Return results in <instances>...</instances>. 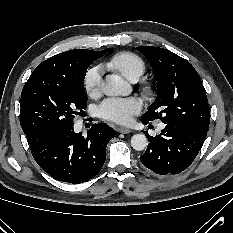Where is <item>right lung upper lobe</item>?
I'll return each instance as SVG.
<instances>
[{"mask_svg": "<svg viewBox=\"0 0 233 233\" xmlns=\"http://www.w3.org/2000/svg\"><path fill=\"white\" fill-rule=\"evenodd\" d=\"M108 49L92 51L87 49H74L66 51L43 61L37 66L33 73H43L55 76H65L70 73L72 61L82 56L102 57Z\"/></svg>", "mask_w": 233, "mask_h": 233, "instance_id": "1", "label": "right lung upper lobe"}]
</instances>
